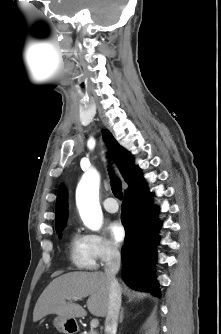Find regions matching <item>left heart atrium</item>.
Returning a JSON list of instances; mask_svg holds the SVG:
<instances>
[{
    "label": "left heart atrium",
    "instance_id": "39dd6f15",
    "mask_svg": "<svg viewBox=\"0 0 221 334\" xmlns=\"http://www.w3.org/2000/svg\"><path fill=\"white\" fill-rule=\"evenodd\" d=\"M108 230L111 236V239L115 243H120L125 237V228L119 220H114L109 223Z\"/></svg>",
    "mask_w": 221,
    "mask_h": 334
}]
</instances>
